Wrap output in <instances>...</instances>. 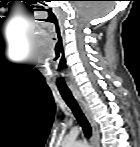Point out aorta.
<instances>
[{
    "instance_id": "obj_1",
    "label": "aorta",
    "mask_w": 140,
    "mask_h": 147,
    "mask_svg": "<svg viewBox=\"0 0 140 147\" xmlns=\"http://www.w3.org/2000/svg\"><path fill=\"white\" fill-rule=\"evenodd\" d=\"M85 144L83 143V142H78L77 144H76V146L77 147H82V146H84Z\"/></svg>"
}]
</instances>
